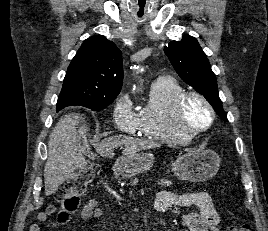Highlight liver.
Instances as JSON below:
<instances>
[{
  "mask_svg": "<svg viewBox=\"0 0 268 231\" xmlns=\"http://www.w3.org/2000/svg\"><path fill=\"white\" fill-rule=\"evenodd\" d=\"M82 123H85V119L80 114H66L59 119L49 136L48 158L44 167L46 196L53 194L72 177L75 170L84 169L87 164L80 150V144L87 133V127ZM122 145L123 154H135L157 146L153 141L125 135L93 143L96 152L103 157H112L115 148Z\"/></svg>",
  "mask_w": 268,
  "mask_h": 231,
  "instance_id": "liver-1",
  "label": "liver"
}]
</instances>
